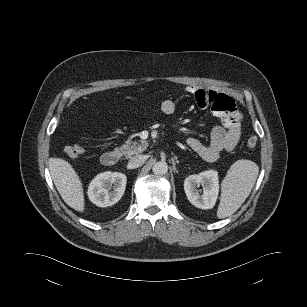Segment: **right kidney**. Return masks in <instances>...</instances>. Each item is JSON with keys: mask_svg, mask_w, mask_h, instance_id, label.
I'll list each match as a JSON object with an SVG mask.
<instances>
[{"mask_svg": "<svg viewBox=\"0 0 307 307\" xmlns=\"http://www.w3.org/2000/svg\"><path fill=\"white\" fill-rule=\"evenodd\" d=\"M127 177L119 172H102L89 184L88 197L99 207L116 204L124 194Z\"/></svg>", "mask_w": 307, "mask_h": 307, "instance_id": "1", "label": "right kidney"}]
</instances>
